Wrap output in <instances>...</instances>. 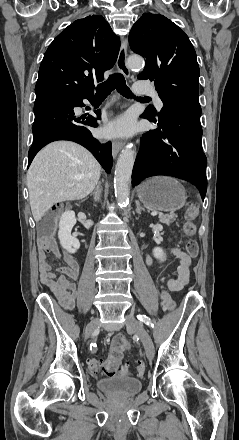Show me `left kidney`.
<instances>
[{
	"label": "left kidney",
	"instance_id": "left-kidney-1",
	"mask_svg": "<svg viewBox=\"0 0 239 440\" xmlns=\"http://www.w3.org/2000/svg\"><path fill=\"white\" fill-rule=\"evenodd\" d=\"M153 256L154 258H157V260H160V262H164V260H166V254H164V250H162V248H154Z\"/></svg>",
	"mask_w": 239,
	"mask_h": 440
}]
</instances>
